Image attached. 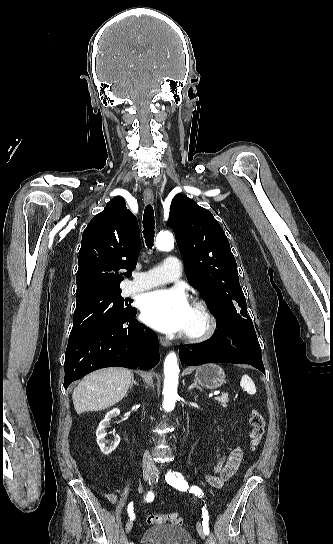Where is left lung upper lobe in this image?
Returning <instances> with one entry per match:
<instances>
[{
	"label": "left lung upper lobe",
	"instance_id": "1",
	"mask_svg": "<svg viewBox=\"0 0 333 544\" xmlns=\"http://www.w3.org/2000/svg\"><path fill=\"white\" fill-rule=\"evenodd\" d=\"M167 224L176 234L188 281L214 306L218 326L249 323L235 258L211 212L178 194L172 200Z\"/></svg>",
	"mask_w": 333,
	"mask_h": 544
}]
</instances>
